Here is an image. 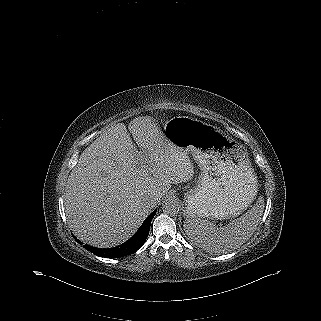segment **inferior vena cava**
<instances>
[{
  "mask_svg": "<svg viewBox=\"0 0 321 321\" xmlns=\"http://www.w3.org/2000/svg\"><path fill=\"white\" fill-rule=\"evenodd\" d=\"M153 201H154V199L150 197V198L147 200V203H148L149 205H151V204H153Z\"/></svg>",
  "mask_w": 321,
  "mask_h": 321,
  "instance_id": "1",
  "label": "inferior vena cava"
}]
</instances>
